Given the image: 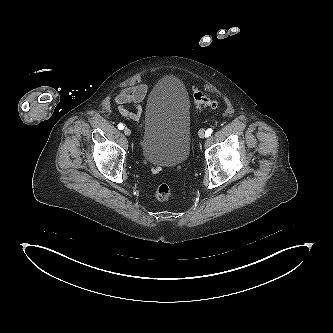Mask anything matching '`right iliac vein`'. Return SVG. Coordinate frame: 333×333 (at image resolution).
Returning a JSON list of instances; mask_svg holds the SVG:
<instances>
[{
  "instance_id": "63e3f726",
  "label": "right iliac vein",
  "mask_w": 333,
  "mask_h": 333,
  "mask_svg": "<svg viewBox=\"0 0 333 333\" xmlns=\"http://www.w3.org/2000/svg\"><path fill=\"white\" fill-rule=\"evenodd\" d=\"M124 134H125L126 136H130V135H131V130H130L129 128H125V130H124Z\"/></svg>"
}]
</instances>
